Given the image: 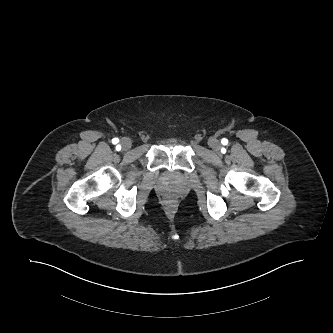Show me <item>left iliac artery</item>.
<instances>
[{
    "label": "left iliac artery",
    "mask_w": 333,
    "mask_h": 333,
    "mask_svg": "<svg viewBox=\"0 0 333 333\" xmlns=\"http://www.w3.org/2000/svg\"><path fill=\"white\" fill-rule=\"evenodd\" d=\"M222 143H223V144H226V143H227V139L224 138V139L222 140Z\"/></svg>",
    "instance_id": "left-iliac-artery-1"
}]
</instances>
